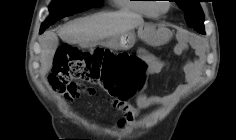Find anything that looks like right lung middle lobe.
<instances>
[{
  "label": "right lung middle lobe",
  "mask_w": 236,
  "mask_h": 140,
  "mask_svg": "<svg viewBox=\"0 0 236 140\" xmlns=\"http://www.w3.org/2000/svg\"><path fill=\"white\" fill-rule=\"evenodd\" d=\"M100 1L101 0H53L49 6L50 16L42 23L41 29H46L61 18L95 7Z\"/></svg>",
  "instance_id": "obj_1"
}]
</instances>
